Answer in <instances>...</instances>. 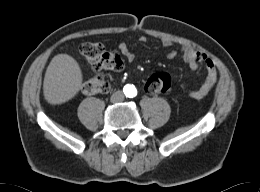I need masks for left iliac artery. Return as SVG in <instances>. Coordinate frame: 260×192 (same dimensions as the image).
Returning <instances> with one entry per match:
<instances>
[{
	"mask_svg": "<svg viewBox=\"0 0 260 192\" xmlns=\"http://www.w3.org/2000/svg\"><path fill=\"white\" fill-rule=\"evenodd\" d=\"M131 95H132V97H135L136 94H135V93H132Z\"/></svg>",
	"mask_w": 260,
	"mask_h": 192,
	"instance_id": "obj_1",
	"label": "left iliac artery"
}]
</instances>
